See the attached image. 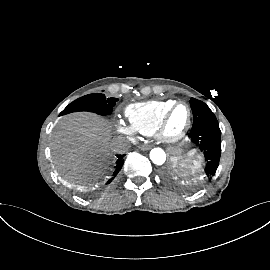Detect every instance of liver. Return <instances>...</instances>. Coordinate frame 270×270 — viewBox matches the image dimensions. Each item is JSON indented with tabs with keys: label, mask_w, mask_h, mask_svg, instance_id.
Here are the masks:
<instances>
[{
	"label": "liver",
	"mask_w": 270,
	"mask_h": 270,
	"mask_svg": "<svg viewBox=\"0 0 270 270\" xmlns=\"http://www.w3.org/2000/svg\"><path fill=\"white\" fill-rule=\"evenodd\" d=\"M52 137L54 160L63 171L98 175L111 156L110 125L93 113L76 112L61 117Z\"/></svg>",
	"instance_id": "1"
}]
</instances>
